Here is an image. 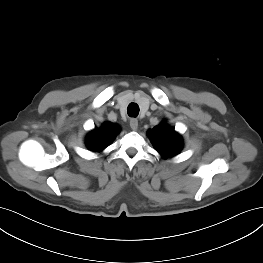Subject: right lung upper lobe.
Segmentation results:
<instances>
[{"instance_id":"obj_1","label":"right lung upper lobe","mask_w":263,"mask_h":263,"mask_svg":"<svg viewBox=\"0 0 263 263\" xmlns=\"http://www.w3.org/2000/svg\"><path fill=\"white\" fill-rule=\"evenodd\" d=\"M120 131L117 124L105 122L101 128H95L86 138V146L94 152L105 149Z\"/></svg>"}]
</instances>
